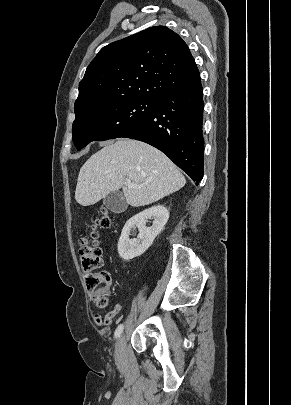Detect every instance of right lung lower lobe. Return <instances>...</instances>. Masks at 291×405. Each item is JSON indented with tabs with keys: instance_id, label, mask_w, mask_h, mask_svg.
<instances>
[{
	"instance_id": "1",
	"label": "right lung lower lobe",
	"mask_w": 291,
	"mask_h": 405,
	"mask_svg": "<svg viewBox=\"0 0 291 405\" xmlns=\"http://www.w3.org/2000/svg\"><path fill=\"white\" fill-rule=\"evenodd\" d=\"M203 88L200 77L158 96L149 117L123 138L148 143L165 153L196 185L203 178Z\"/></svg>"
}]
</instances>
